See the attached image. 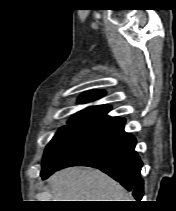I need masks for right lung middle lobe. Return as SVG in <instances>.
<instances>
[{
  "mask_svg": "<svg viewBox=\"0 0 176 211\" xmlns=\"http://www.w3.org/2000/svg\"><path fill=\"white\" fill-rule=\"evenodd\" d=\"M95 126L97 125L94 123H83L70 120L68 125L61 128L47 145L43 157L42 168L49 166L61 155V153Z\"/></svg>",
  "mask_w": 176,
  "mask_h": 211,
  "instance_id": "obj_1",
  "label": "right lung middle lobe"
}]
</instances>
